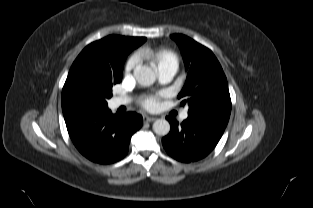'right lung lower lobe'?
<instances>
[{"mask_svg": "<svg viewBox=\"0 0 313 208\" xmlns=\"http://www.w3.org/2000/svg\"><path fill=\"white\" fill-rule=\"evenodd\" d=\"M62 110L70 138L79 152L93 162L109 164L128 152L131 136L141 128L142 116L134 112L116 116L108 106L64 99Z\"/></svg>", "mask_w": 313, "mask_h": 208, "instance_id": "1", "label": "right lung lower lobe"}]
</instances>
